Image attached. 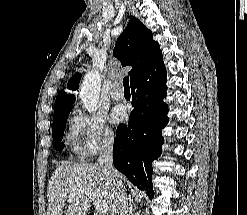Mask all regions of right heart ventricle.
Wrapping results in <instances>:
<instances>
[{"label": "right heart ventricle", "instance_id": "e07e8e85", "mask_svg": "<svg viewBox=\"0 0 247 215\" xmlns=\"http://www.w3.org/2000/svg\"><path fill=\"white\" fill-rule=\"evenodd\" d=\"M70 141L73 142V139L71 138V136H70Z\"/></svg>", "mask_w": 247, "mask_h": 215}]
</instances>
